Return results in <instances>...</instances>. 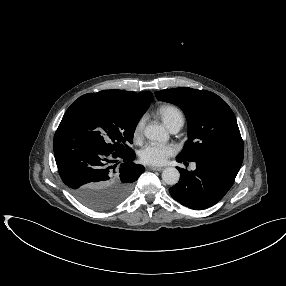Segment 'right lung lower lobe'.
<instances>
[{"instance_id":"right-lung-lower-lobe-1","label":"right lung lower lobe","mask_w":286,"mask_h":286,"mask_svg":"<svg viewBox=\"0 0 286 286\" xmlns=\"http://www.w3.org/2000/svg\"><path fill=\"white\" fill-rule=\"evenodd\" d=\"M56 164L74 197L92 209L106 210L121 203L144 167L133 163V151L109 155L60 123L53 141ZM122 164L118 166V161Z\"/></svg>"}]
</instances>
